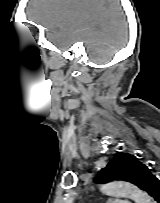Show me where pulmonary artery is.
Returning <instances> with one entry per match:
<instances>
[{"instance_id":"pulmonary-artery-1","label":"pulmonary artery","mask_w":160,"mask_h":203,"mask_svg":"<svg viewBox=\"0 0 160 203\" xmlns=\"http://www.w3.org/2000/svg\"><path fill=\"white\" fill-rule=\"evenodd\" d=\"M115 203H131L129 200H116Z\"/></svg>"}]
</instances>
